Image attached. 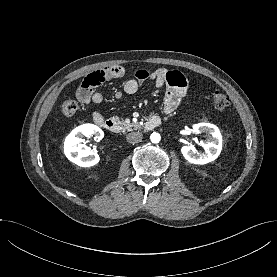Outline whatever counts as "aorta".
Instances as JSON below:
<instances>
[{
  "label": "aorta",
  "instance_id": "aorta-1",
  "mask_svg": "<svg viewBox=\"0 0 277 277\" xmlns=\"http://www.w3.org/2000/svg\"><path fill=\"white\" fill-rule=\"evenodd\" d=\"M150 139L152 143H158L161 140V136L159 133L154 132L151 134Z\"/></svg>",
  "mask_w": 277,
  "mask_h": 277
}]
</instances>
